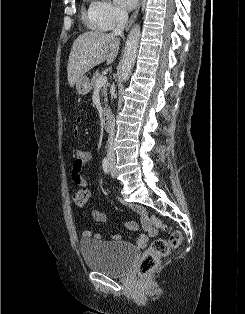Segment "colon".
<instances>
[{"label":"colon","mask_w":245,"mask_h":314,"mask_svg":"<svg viewBox=\"0 0 245 314\" xmlns=\"http://www.w3.org/2000/svg\"><path fill=\"white\" fill-rule=\"evenodd\" d=\"M89 198L90 193L86 188L75 189L72 193L74 203L80 207L86 206L89 202ZM144 220L148 224H152L158 228H164L163 223L152 214L145 215ZM181 242L182 235L178 231L171 233L168 240H154L146 249L139 262V273L143 275L152 271L158 265L160 260L166 257L171 249L177 248Z\"/></svg>","instance_id":"colon-1"}]
</instances>
